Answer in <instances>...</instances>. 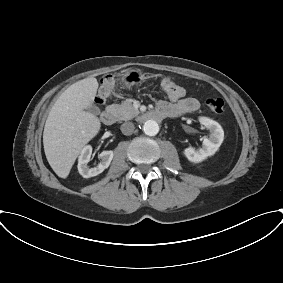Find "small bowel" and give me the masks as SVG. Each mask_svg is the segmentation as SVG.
Segmentation results:
<instances>
[{
  "instance_id": "small-bowel-1",
  "label": "small bowel",
  "mask_w": 283,
  "mask_h": 283,
  "mask_svg": "<svg viewBox=\"0 0 283 283\" xmlns=\"http://www.w3.org/2000/svg\"><path fill=\"white\" fill-rule=\"evenodd\" d=\"M170 102L160 101L157 104V110H170L173 112L172 117L181 116L197 111L200 107L198 99L195 97H184V98H171Z\"/></svg>"
}]
</instances>
